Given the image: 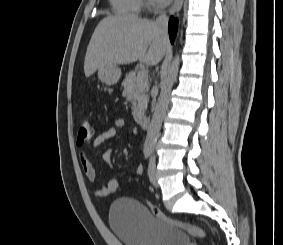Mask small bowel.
Instances as JSON below:
<instances>
[{
    "mask_svg": "<svg viewBox=\"0 0 283 245\" xmlns=\"http://www.w3.org/2000/svg\"><path fill=\"white\" fill-rule=\"evenodd\" d=\"M127 126L126 121L123 118H118L114 121V125L105 129L103 132H101L93 141L92 146L94 148L100 146L104 142L114 138L117 135L118 130L123 129ZM103 158L105 163L109 166L112 167V159H111V150L107 148L103 152ZM80 161L82 168L84 170V173L89 180L91 184L94 186V192L98 196H106L108 195L106 187H100L97 186V172L92 164L91 160L87 156V154L84 151L80 152ZM135 173L140 175L143 173V166L142 165H137L135 168Z\"/></svg>",
    "mask_w": 283,
    "mask_h": 245,
    "instance_id": "obj_1",
    "label": "small bowel"
}]
</instances>
